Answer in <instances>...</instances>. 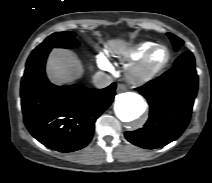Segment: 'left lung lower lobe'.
Listing matches in <instances>:
<instances>
[{
  "label": "left lung lower lobe",
  "instance_id": "0a47b994",
  "mask_svg": "<svg viewBox=\"0 0 212 183\" xmlns=\"http://www.w3.org/2000/svg\"><path fill=\"white\" fill-rule=\"evenodd\" d=\"M197 89L195 60L187 51L177 58L173 68L136 88L147 99L150 116L143 128L126 132V139L146 149L176 140L190 121Z\"/></svg>",
  "mask_w": 212,
  "mask_h": 183
}]
</instances>
